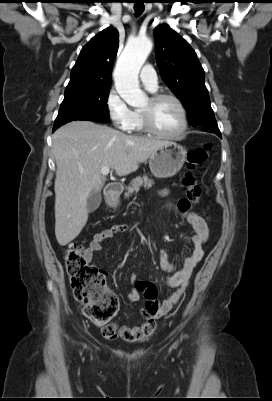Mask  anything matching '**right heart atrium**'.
<instances>
[{
	"label": "right heart atrium",
	"instance_id": "obj_1",
	"mask_svg": "<svg viewBox=\"0 0 272 401\" xmlns=\"http://www.w3.org/2000/svg\"><path fill=\"white\" fill-rule=\"evenodd\" d=\"M105 107L114 126L128 131L133 119V110L129 108L115 88H111L105 98Z\"/></svg>",
	"mask_w": 272,
	"mask_h": 401
}]
</instances>
